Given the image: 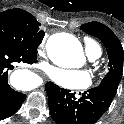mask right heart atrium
I'll return each instance as SVG.
<instances>
[{
    "mask_svg": "<svg viewBox=\"0 0 124 124\" xmlns=\"http://www.w3.org/2000/svg\"><path fill=\"white\" fill-rule=\"evenodd\" d=\"M44 44H45V39L43 40L41 47L44 48Z\"/></svg>",
    "mask_w": 124,
    "mask_h": 124,
    "instance_id": "right-heart-atrium-1",
    "label": "right heart atrium"
}]
</instances>
